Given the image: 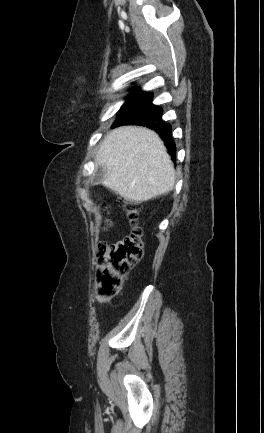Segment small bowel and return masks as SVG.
<instances>
[{"label":"small bowel","mask_w":264,"mask_h":433,"mask_svg":"<svg viewBox=\"0 0 264 433\" xmlns=\"http://www.w3.org/2000/svg\"><path fill=\"white\" fill-rule=\"evenodd\" d=\"M96 301L99 303H105L106 299L104 297H102L100 294L96 295Z\"/></svg>","instance_id":"small-bowel-1"}]
</instances>
